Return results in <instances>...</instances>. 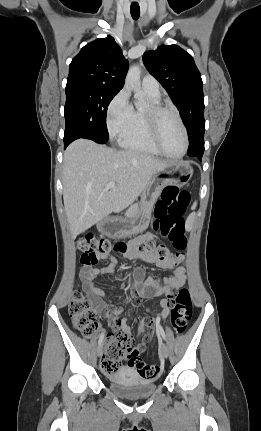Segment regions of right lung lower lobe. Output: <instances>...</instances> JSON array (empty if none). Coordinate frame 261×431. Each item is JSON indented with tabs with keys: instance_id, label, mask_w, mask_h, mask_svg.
I'll use <instances>...</instances> for the list:
<instances>
[{
	"instance_id": "obj_1",
	"label": "right lung lower lobe",
	"mask_w": 261,
	"mask_h": 431,
	"mask_svg": "<svg viewBox=\"0 0 261 431\" xmlns=\"http://www.w3.org/2000/svg\"><path fill=\"white\" fill-rule=\"evenodd\" d=\"M70 143V141H64V148H66Z\"/></svg>"
}]
</instances>
